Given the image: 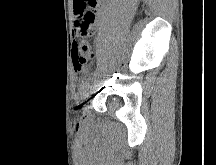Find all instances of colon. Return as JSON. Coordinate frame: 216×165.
I'll return each mask as SVG.
<instances>
[{"label": "colon", "mask_w": 216, "mask_h": 165, "mask_svg": "<svg viewBox=\"0 0 216 165\" xmlns=\"http://www.w3.org/2000/svg\"><path fill=\"white\" fill-rule=\"evenodd\" d=\"M92 21V13L87 12L78 28L75 29L77 43L74 48V65L78 71H82L94 57L89 43V39L93 33Z\"/></svg>", "instance_id": "obj_1"}]
</instances>
